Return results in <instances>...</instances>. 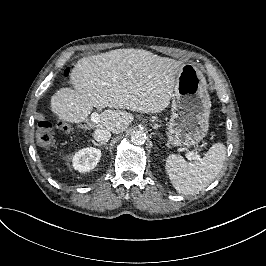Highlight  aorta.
Masks as SVG:
<instances>
[{
  "mask_svg": "<svg viewBox=\"0 0 266 266\" xmlns=\"http://www.w3.org/2000/svg\"><path fill=\"white\" fill-rule=\"evenodd\" d=\"M146 141V133L142 130H137L131 134V142L134 145H142Z\"/></svg>",
  "mask_w": 266,
  "mask_h": 266,
  "instance_id": "obj_1",
  "label": "aorta"
}]
</instances>
